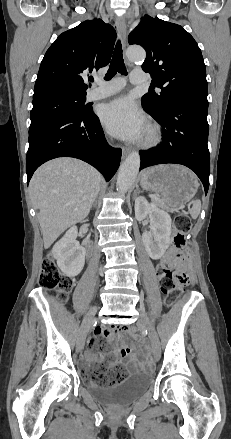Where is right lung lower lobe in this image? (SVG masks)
<instances>
[{"instance_id":"98d812e1","label":"right lung lower lobe","mask_w":231,"mask_h":439,"mask_svg":"<svg viewBox=\"0 0 231 439\" xmlns=\"http://www.w3.org/2000/svg\"><path fill=\"white\" fill-rule=\"evenodd\" d=\"M121 154L120 148L108 145L99 118L92 110L54 117L30 125L27 182L41 164L57 157L81 159L110 180L119 167Z\"/></svg>"}]
</instances>
